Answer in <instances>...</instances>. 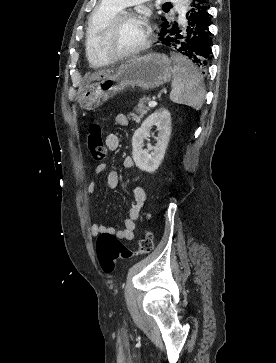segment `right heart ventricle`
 Masks as SVG:
<instances>
[{"mask_svg":"<svg viewBox=\"0 0 276 363\" xmlns=\"http://www.w3.org/2000/svg\"><path fill=\"white\" fill-rule=\"evenodd\" d=\"M120 9L121 8L114 2L102 0L89 18L86 54L89 62L94 67H105L112 63L101 49L100 34L108 21H110Z\"/></svg>","mask_w":276,"mask_h":363,"instance_id":"1","label":"right heart ventricle"}]
</instances>
